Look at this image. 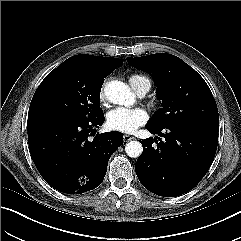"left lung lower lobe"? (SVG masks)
Here are the masks:
<instances>
[{
    "mask_svg": "<svg viewBox=\"0 0 241 241\" xmlns=\"http://www.w3.org/2000/svg\"><path fill=\"white\" fill-rule=\"evenodd\" d=\"M146 129L160 137L140 141L143 152L135 171L142 185L163 197L179 196L193 189L214 160L219 125L189 122L163 128L146 125ZM154 142L157 147L152 145Z\"/></svg>",
    "mask_w": 241,
    "mask_h": 241,
    "instance_id": "0a47b994",
    "label": "left lung lower lobe"
}]
</instances>
